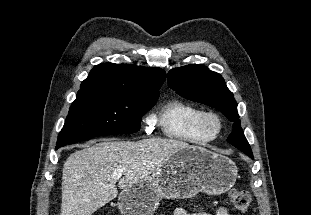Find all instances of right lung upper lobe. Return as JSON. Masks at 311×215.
I'll use <instances>...</instances> for the list:
<instances>
[{
  "instance_id": "obj_1",
  "label": "right lung upper lobe",
  "mask_w": 311,
  "mask_h": 215,
  "mask_svg": "<svg viewBox=\"0 0 311 215\" xmlns=\"http://www.w3.org/2000/svg\"><path fill=\"white\" fill-rule=\"evenodd\" d=\"M165 79L166 73L160 68L103 63L94 66L82 82L80 91L100 90L138 97H159L158 90Z\"/></svg>"
}]
</instances>
